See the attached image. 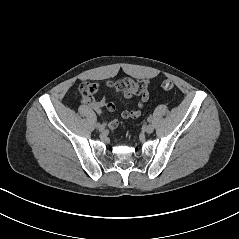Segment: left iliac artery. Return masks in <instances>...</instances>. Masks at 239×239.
Instances as JSON below:
<instances>
[{"label":"left iliac artery","mask_w":239,"mask_h":239,"mask_svg":"<svg viewBox=\"0 0 239 239\" xmlns=\"http://www.w3.org/2000/svg\"><path fill=\"white\" fill-rule=\"evenodd\" d=\"M147 121H148V122H151V121H152V118H151V117H148Z\"/></svg>","instance_id":"left-iliac-artery-1"}]
</instances>
